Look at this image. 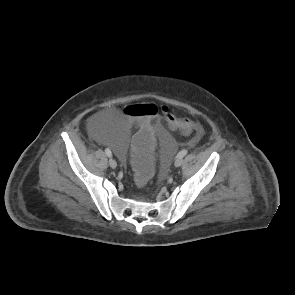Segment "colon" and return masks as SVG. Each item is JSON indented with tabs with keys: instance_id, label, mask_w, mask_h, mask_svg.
<instances>
[{
	"instance_id": "1",
	"label": "colon",
	"mask_w": 295,
	"mask_h": 295,
	"mask_svg": "<svg viewBox=\"0 0 295 295\" xmlns=\"http://www.w3.org/2000/svg\"><path fill=\"white\" fill-rule=\"evenodd\" d=\"M160 112L157 106L151 102L135 104L125 101L120 106L118 120L121 127H133L135 137L131 144V162L133 164V175L140 182L149 181L154 175V162L152 150L157 137L153 131L159 121H165L171 130H180L187 135L196 132V124L183 118L179 112H169L166 107Z\"/></svg>"
}]
</instances>
